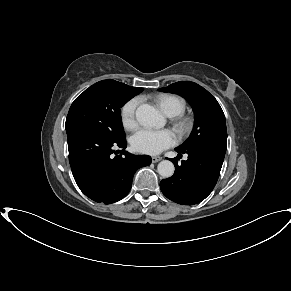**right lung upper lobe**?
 Here are the masks:
<instances>
[{
	"instance_id": "right-lung-upper-lobe-1",
	"label": "right lung upper lobe",
	"mask_w": 291,
	"mask_h": 291,
	"mask_svg": "<svg viewBox=\"0 0 291 291\" xmlns=\"http://www.w3.org/2000/svg\"><path fill=\"white\" fill-rule=\"evenodd\" d=\"M108 81H110V82H112V83H115V84H117V85H120V86L127 87V88H129V89H131V90H133V91H140L141 89H143V88H139V87H130V86L124 84V83L117 82V81H115V80H111V79H108Z\"/></svg>"
}]
</instances>
